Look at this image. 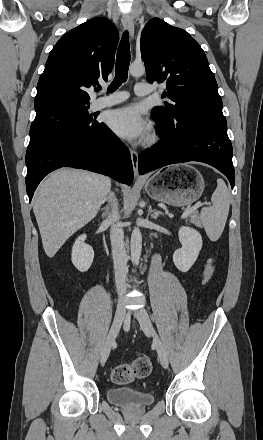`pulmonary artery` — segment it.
I'll list each match as a JSON object with an SVG mask.
<instances>
[{"instance_id":"obj_1","label":"pulmonary artery","mask_w":263,"mask_h":440,"mask_svg":"<svg viewBox=\"0 0 263 440\" xmlns=\"http://www.w3.org/2000/svg\"><path fill=\"white\" fill-rule=\"evenodd\" d=\"M153 91L154 89L152 87H150L147 83H143V82L137 83L134 87V92L137 96H144ZM127 98H128L127 92L125 91L115 92L109 96L99 97L96 100H94L92 103V108L94 110L102 109L120 103L122 101H125Z\"/></svg>"}]
</instances>
